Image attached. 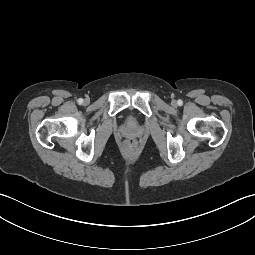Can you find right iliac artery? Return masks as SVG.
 Masks as SVG:
<instances>
[{"label": "right iliac artery", "instance_id": "1", "mask_svg": "<svg viewBox=\"0 0 255 255\" xmlns=\"http://www.w3.org/2000/svg\"><path fill=\"white\" fill-rule=\"evenodd\" d=\"M78 103L82 104L83 103V99L82 98L78 99Z\"/></svg>", "mask_w": 255, "mask_h": 255}]
</instances>
